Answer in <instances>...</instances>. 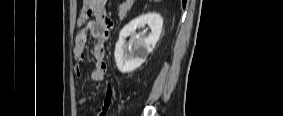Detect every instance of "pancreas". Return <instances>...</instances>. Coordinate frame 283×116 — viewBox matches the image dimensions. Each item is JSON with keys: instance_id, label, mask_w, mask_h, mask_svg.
Returning a JSON list of instances; mask_svg holds the SVG:
<instances>
[{"instance_id": "pancreas-1", "label": "pancreas", "mask_w": 283, "mask_h": 116, "mask_svg": "<svg viewBox=\"0 0 283 116\" xmlns=\"http://www.w3.org/2000/svg\"><path fill=\"white\" fill-rule=\"evenodd\" d=\"M128 10H129V6L127 4H123L119 7L120 19H123L126 16Z\"/></svg>"}]
</instances>
